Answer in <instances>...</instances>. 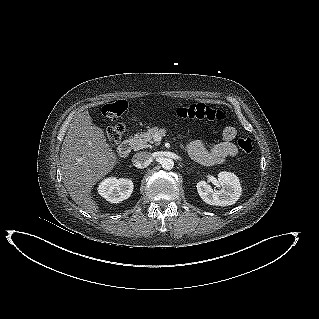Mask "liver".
Wrapping results in <instances>:
<instances>
[{
  "label": "liver",
  "mask_w": 319,
  "mask_h": 319,
  "mask_svg": "<svg viewBox=\"0 0 319 319\" xmlns=\"http://www.w3.org/2000/svg\"><path fill=\"white\" fill-rule=\"evenodd\" d=\"M60 161L64 185L73 201L89 213L99 212L91 190L112 170L117 156L88 111L78 112L71 121Z\"/></svg>",
  "instance_id": "1"
}]
</instances>
